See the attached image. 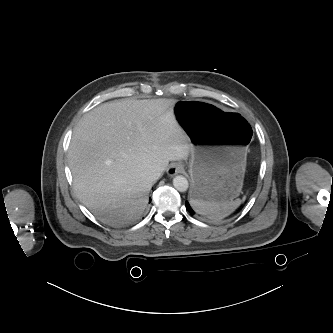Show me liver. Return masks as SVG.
<instances>
[{"mask_svg": "<svg viewBox=\"0 0 333 333\" xmlns=\"http://www.w3.org/2000/svg\"><path fill=\"white\" fill-rule=\"evenodd\" d=\"M174 99H123L101 104L73 130L68 151L74 189L82 203L107 224L141 217L155 180L147 170L186 160L188 136L174 114Z\"/></svg>", "mask_w": 333, "mask_h": 333, "instance_id": "6515ba94", "label": "liver"}]
</instances>
